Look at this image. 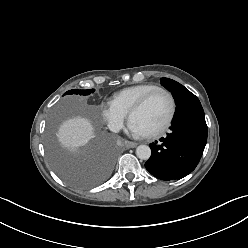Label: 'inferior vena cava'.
<instances>
[{
	"label": "inferior vena cava",
	"instance_id": "1",
	"mask_svg": "<svg viewBox=\"0 0 248 248\" xmlns=\"http://www.w3.org/2000/svg\"><path fill=\"white\" fill-rule=\"evenodd\" d=\"M108 127L110 131L115 132V133L119 132L121 129V125L116 124V123H109Z\"/></svg>",
	"mask_w": 248,
	"mask_h": 248
}]
</instances>
